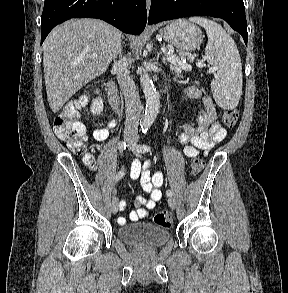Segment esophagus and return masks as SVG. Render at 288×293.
Instances as JSON below:
<instances>
[{"mask_svg":"<svg viewBox=\"0 0 288 293\" xmlns=\"http://www.w3.org/2000/svg\"><path fill=\"white\" fill-rule=\"evenodd\" d=\"M151 5V0H146V6H147V10H149Z\"/></svg>","mask_w":288,"mask_h":293,"instance_id":"1","label":"esophagus"}]
</instances>
